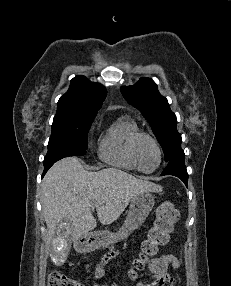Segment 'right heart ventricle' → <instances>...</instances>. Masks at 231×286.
<instances>
[{
    "label": "right heart ventricle",
    "mask_w": 231,
    "mask_h": 286,
    "mask_svg": "<svg viewBox=\"0 0 231 286\" xmlns=\"http://www.w3.org/2000/svg\"><path fill=\"white\" fill-rule=\"evenodd\" d=\"M137 122L128 115L114 121L101 134L98 142V156L104 163L127 171L137 170L130 154L131 138L139 132Z\"/></svg>",
    "instance_id": "right-heart-ventricle-1"
}]
</instances>
